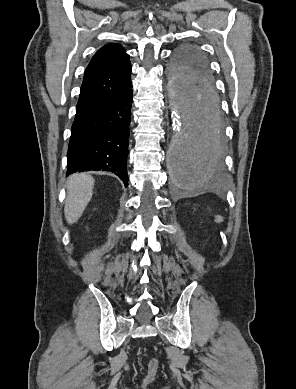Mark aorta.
<instances>
[{"instance_id":"762f6f07","label":"aorta","mask_w":296,"mask_h":389,"mask_svg":"<svg viewBox=\"0 0 296 389\" xmlns=\"http://www.w3.org/2000/svg\"><path fill=\"white\" fill-rule=\"evenodd\" d=\"M167 99L173 136L167 146L173 189H202L220 161L217 129L218 92L204 72L168 67Z\"/></svg>"}]
</instances>
